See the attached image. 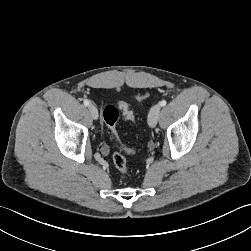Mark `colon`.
Returning <instances> with one entry per match:
<instances>
[{
	"label": "colon",
	"mask_w": 251,
	"mask_h": 251,
	"mask_svg": "<svg viewBox=\"0 0 251 251\" xmlns=\"http://www.w3.org/2000/svg\"><path fill=\"white\" fill-rule=\"evenodd\" d=\"M146 95H137V99H143ZM119 110L122 112L125 119L129 121H134L135 116L133 111L129 108V106L124 102H119L118 106L115 105H107L103 110V119L110 131V135L112 139L116 142H119L118 133L116 130V123L119 117ZM126 153L132 154L134 150L132 149H125ZM112 163L114 167L121 173L127 172V164L126 160L123 155L120 153H114L112 155Z\"/></svg>",
	"instance_id": "obj_1"
}]
</instances>
